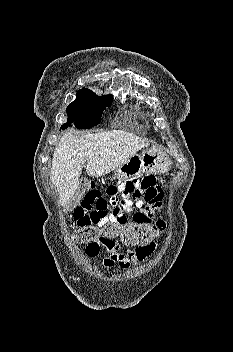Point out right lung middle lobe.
Here are the masks:
<instances>
[{
    "mask_svg": "<svg viewBox=\"0 0 233 352\" xmlns=\"http://www.w3.org/2000/svg\"><path fill=\"white\" fill-rule=\"evenodd\" d=\"M112 101V95L97 96L89 89L77 93V98L67 107L68 120L61 126L66 129L71 125L77 128H92L99 124L102 113Z\"/></svg>",
    "mask_w": 233,
    "mask_h": 352,
    "instance_id": "dd1d6c3e",
    "label": "right lung middle lobe"
}]
</instances>
